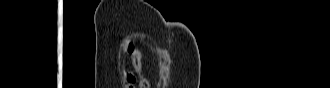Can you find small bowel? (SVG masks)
<instances>
[{"label":"small bowel","mask_w":330,"mask_h":88,"mask_svg":"<svg viewBox=\"0 0 330 88\" xmlns=\"http://www.w3.org/2000/svg\"><path fill=\"white\" fill-rule=\"evenodd\" d=\"M132 63H133V67L136 70H139L141 68V51L140 50L136 49L132 52ZM124 78H125L126 83L130 86H133L138 81L137 75L130 71L125 73Z\"/></svg>","instance_id":"obj_1"}]
</instances>
